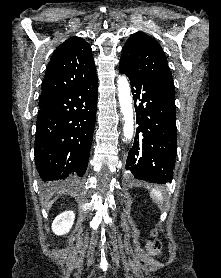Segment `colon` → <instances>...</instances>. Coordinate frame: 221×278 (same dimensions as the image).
I'll list each match as a JSON object with an SVG mask.
<instances>
[{"instance_id": "obj_1", "label": "colon", "mask_w": 221, "mask_h": 278, "mask_svg": "<svg viewBox=\"0 0 221 278\" xmlns=\"http://www.w3.org/2000/svg\"><path fill=\"white\" fill-rule=\"evenodd\" d=\"M151 246H152V250H154L155 252H160L162 249V243L158 239H155L152 242Z\"/></svg>"}]
</instances>
